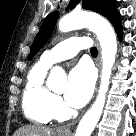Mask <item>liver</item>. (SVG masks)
I'll return each mask as SVG.
<instances>
[{"instance_id":"6515ba94","label":"liver","mask_w":136,"mask_h":136,"mask_svg":"<svg viewBox=\"0 0 136 136\" xmlns=\"http://www.w3.org/2000/svg\"><path fill=\"white\" fill-rule=\"evenodd\" d=\"M14 136H55V133L43 126L27 125L19 128Z\"/></svg>"}]
</instances>
